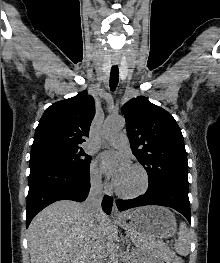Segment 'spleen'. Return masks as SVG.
Wrapping results in <instances>:
<instances>
[{
  "label": "spleen",
  "instance_id": "3e777b00",
  "mask_svg": "<svg viewBox=\"0 0 220 263\" xmlns=\"http://www.w3.org/2000/svg\"><path fill=\"white\" fill-rule=\"evenodd\" d=\"M174 249L178 254L182 256H186L189 253L190 233L184 222L180 223L178 239L175 243Z\"/></svg>",
  "mask_w": 220,
  "mask_h": 263
}]
</instances>
